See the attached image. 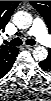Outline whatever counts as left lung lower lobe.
I'll return each mask as SVG.
<instances>
[{
  "mask_svg": "<svg viewBox=\"0 0 51 101\" xmlns=\"http://www.w3.org/2000/svg\"><path fill=\"white\" fill-rule=\"evenodd\" d=\"M42 68L47 69V64L45 61L40 62Z\"/></svg>",
  "mask_w": 51,
  "mask_h": 101,
  "instance_id": "left-lung-lower-lobe-1",
  "label": "left lung lower lobe"
}]
</instances>
